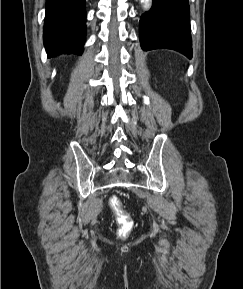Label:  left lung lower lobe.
Segmentation results:
<instances>
[{
	"instance_id": "1",
	"label": "left lung lower lobe",
	"mask_w": 243,
	"mask_h": 289,
	"mask_svg": "<svg viewBox=\"0 0 243 289\" xmlns=\"http://www.w3.org/2000/svg\"><path fill=\"white\" fill-rule=\"evenodd\" d=\"M143 50L166 48L192 58L188 0H153L150 11L140 19Z\"/></svg>"
}]
</instances>
